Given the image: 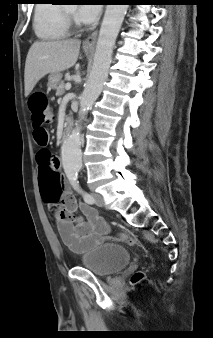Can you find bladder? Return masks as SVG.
Returning a JSON list of instances; mask_svg holds the SVG:
<instances>
[{
    "mask_svg": "<svg viewBox=\"0 0 213 338\" xmlns=\"http://www.w3.org/2000/svg\"><path fill=\"white\" fill-rule=\"evenodd\" d=\"M130 261V250L121 244L97 246L80 258L82 267L99 277H108L121 271Z\"/></svg>",
    "mask_w": 213,
    "mask_h": 338,
    "instance_id": "31cf9c89",
    "label": "bladder"
}]
</instances>
